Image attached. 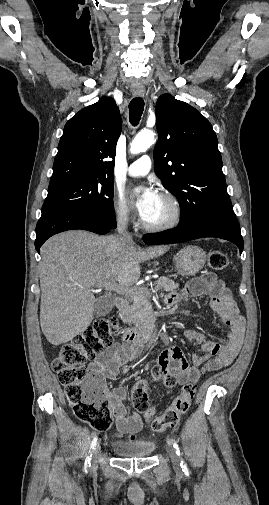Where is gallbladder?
Listing matches in <instances>:
<instances>
[{"label":"gallbladder","instance_id":"obj_1","mask_svg":"<svg viewBox=\"0 0 269 505\" xmlns=\"http://www.w3.org/2000/svg\"><path fill=\"white\" fill-rule=\"evenodd\" d=\"M113 298L109 296H102L97 299L94 304V316L102 317L107 315L113 308Z\"/></svg>","mask_w":269,"mask_h":505}]
</instances>
